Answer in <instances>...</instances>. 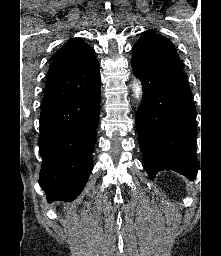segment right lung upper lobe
I'll use <instances>...</instances> for the list:
<instances>
[{
    "label": "right lung upper lobe",
    "instance_id": "1",
    "mask_svg": "<svg viewBox=\"0 0 221 256\" xmlns=\"http://www.w3.org/2000/svg\"><path fill=\"white\" fill-rule=\"evenodd\" d=\"M100 65L92 47L73 38L60 48L49 67L41 109L73 101L100 88Z\"/></svg>",
    "mask_w": 221,
    "mask_h": 256
}]
</instances>
